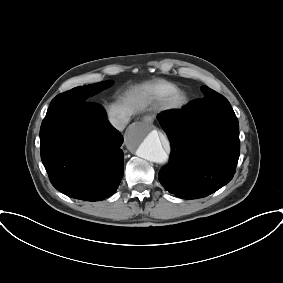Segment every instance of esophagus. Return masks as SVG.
Listing matches in <instances>:
<instances>
[{
    "label": "esophagus",
    "instance_id": "obj_1",
    "mask_svg": "<svg viewBox=\"0 0 283 283\" xmlns=\"http://www.w3.org/2000/svg\"><path fill=\"white\" fill-rule=\"evenodd\" d=\"M143 120L147 123H152L153 122V117L150 115L144 116Z\"/></svg>",
    "mask_w": 283,
    "mask_h": 283
}]
</instances>
